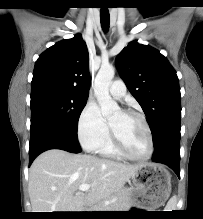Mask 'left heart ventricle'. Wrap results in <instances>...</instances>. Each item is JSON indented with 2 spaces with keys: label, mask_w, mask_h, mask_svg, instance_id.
Here are the masks:
<instances>
[{
  "label": "left heart ventricle",
  "mask_w": 203,
  "mask_h": 219,
  "mask_svg": "<svg viewBox=\"0 0 203 219\" xmlns=\"http://www.w3.org/2000/svg\"><path fill=\"white\" fill-rule=\"evenodd\" d=\"M110 124L131 154L137 157L147 154V132L138 117L119 110L110 118Z\"/></svg>",
  "instance_id": "b2bd125f"
}]
</instances>
